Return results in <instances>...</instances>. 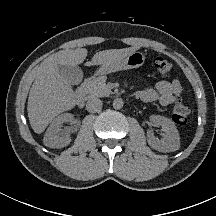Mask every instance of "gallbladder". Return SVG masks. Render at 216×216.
Here are the masks:
<instances>
[{
  "label": "gallbladder",
  "instance_id": "gallbladder-1",
  "mask_svg": "<svg viewBox=\"0 0 216 216\" xmlns=\"http://www.w3.org/2000/svg\"><path fill=\"white\" fill-rule=\"evenodd\" d=\"M58 72L72 85H78L83 79V72L76 65H58Z\"/></svg>",
  "mask_w": 216,
  "mask_h": 216
}]
</instances>
